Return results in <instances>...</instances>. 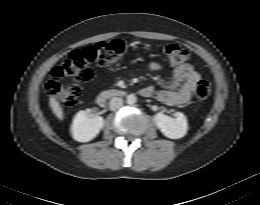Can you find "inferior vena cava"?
Returning <instances> with one entry per match:
<instances>
[{"label": "inferior vena cava", "instance_id": "inferior-vena-cava-1", "mask_svg": "<svg viewBox=\"0 0 260 205\" xmlns=\"http://www.w3.org/2000/svg\"><path fill=\"white\" fill-rule=\"evenodd\" d=\"M122 105H123L122 98L114 97L110 100V109L111 110H117V109L121 108Z\"/></svg>", "mask_w": 260, "mask_h": 205}]
</instances>
